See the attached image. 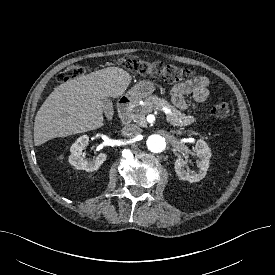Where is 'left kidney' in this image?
<instances>
[{
  "label": "left kidney",
  "instance_id": "5707ae66",
  "mask_svg": "<svg viewBox=\"0 0 275 275\" xmlns=\"http://www.w3.org/2000/svg\"><path fill=\"white\" fill-rule=\"evenodd\" d=\"M195 154L200 159L197 172H191L185 169L186 161L182 157H178L174 163V168L177 176L181 180L188 181L190 183L199 182L207 173L210 164L211 150L204 140H198L195 145Z\"/></svg>",
  "mask_w": 275,
  "mask_h": 275
}]
</instances>
